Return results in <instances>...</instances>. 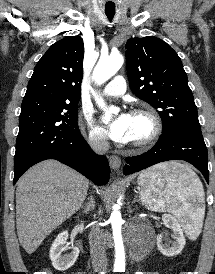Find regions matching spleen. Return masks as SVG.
<instances>
[{"mask_svg":"<svg viewBox=\"0 0 215 274\" xmlns=\"http://www.w3.org/2000/svg\"><path fill=\"white\" fill-rule=\"evenodd\" d=\"M140 200L154 211H167L177 217L194 236L191 227L198 225L205 213V193L201 181L187 166L175 163L156 165L140 173Z\"/></svg>","mask_w":215,"mask_h":274,"instance_id":"obj_1","label":"spleen"}]
</instances>
